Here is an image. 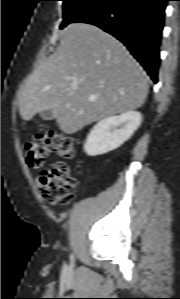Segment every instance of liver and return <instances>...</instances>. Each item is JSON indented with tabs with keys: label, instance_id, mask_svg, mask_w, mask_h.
Instances as JSON below:
<instances>
[{
	"label": "liver",
	"instance_id": "liver-1",
	"mask_svg": "<svg viewBox=\"0 0 180 299\" xmlns=\"http://www.w3.org/2000/svg\"><path fill=\"white\" fill-rule=\"evenodd\" d=\"M148 89L146 73L122 43L96 26L72 23L21 88L20 115L29 121L52 110L60 130L73 134L141 107Z\"/></svg>",
	"mask_w": 180,
	"mask_h": 299
}]
</instances>
